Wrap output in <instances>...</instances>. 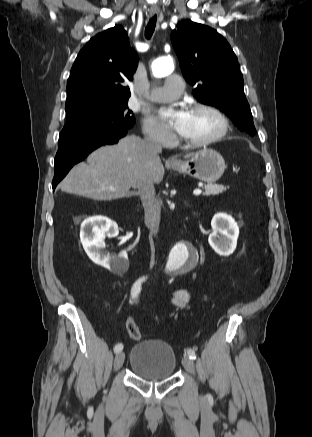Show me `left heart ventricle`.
I'll list each match as a JSON object with an SVG mask.
<instances>
[{
	"instance_id": "b2bd125f",
	"label": "left heart ventricle",
	"mask_w": 312,
	"mask_h": 437,
	"mask_svg": "<svg viewBox=\"0 0 312 437\" xmlns=\"http://www.w3.org/2000/svg\"><path fill=\"white\" fill-rule=\"evenodd\" d=\"M220 127L219 120L206 112H190L187 127L181 135L186 140L199 141L215 134Z\"/></svg>"
}]
</instances>
